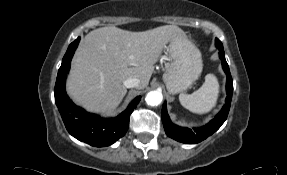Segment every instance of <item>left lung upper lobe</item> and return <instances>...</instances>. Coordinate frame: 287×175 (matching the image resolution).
I'll list each match as a JSON object with an SVG mask.
<instances>
[{"instance_id": "left-lung-upper-lobe-1", "label": "left lung upper lobe", "mask_w": 287, "mask_h": 175, "mask_svg": "<svg viewBox=\"0 0 287 175\" xmlns=\"http://www.w3.org/2000/svg\"><path fill=\"white\" fill-rule=\"evenodd\" d=\"M215 42H216V46H217L218 48L223 47V46H222V43H221V41H220L219 39L216 38V41H215Z\"/></svg>"}]
</instances>
